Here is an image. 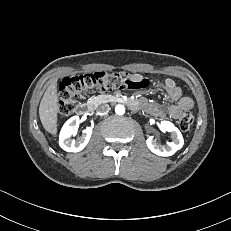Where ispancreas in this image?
Returning <instances> with one entry per match:
<instances>
[{"label":"pancreas","instance_id":"obj_1","mask_svg":"<svg viewBox=\"0 0 231 231\" xmlns=\"http://www.w3.org/2000/svg\"><path fill=\"white\" fill-rule=\"evenodd\" d=\"M111 99H112V97L110 95H102L97 99V101L102 102V101H109Z\"/></svg>","mask_w":231,"mask_h":231}]
</instances>
